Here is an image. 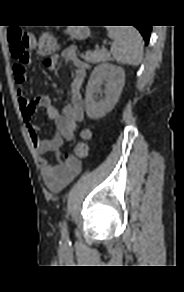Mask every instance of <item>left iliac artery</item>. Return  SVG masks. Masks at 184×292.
Here are the masks:
<instances>
[{"label":"left iliac artery","mask_w":184,"mask_h":292,"mask_svg":"<svg viewBox=\"0 0 184 292\" xmlns=\"http://www.w3.org/2000/svg\"><path fill=\"white\" fill-rule=\"evenodd\" d=\"M62 241H67L69 236H68V228H67V223L64 221L62 224Z\"/></svg>","instance_id":"1"}]
</instances>
